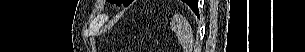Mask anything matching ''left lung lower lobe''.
Listing matches in <instances>:
<instances>
[{"instance_id":"obj_1","label":"left lung lower lobe","mask_w":305,"mask_h":52,"mask_svg":"<svg viewBox=\"0 0 305 52\" xmlns=\"http://www.w3.org/2000/svg\"><path fill=\"white\" fill-rule=\"evenodd\" d=\"M191 9L195 12V14H197L199 16V10L197 7V0H194V3L192 5H190Z\"/></svg>"}]
</instances>
